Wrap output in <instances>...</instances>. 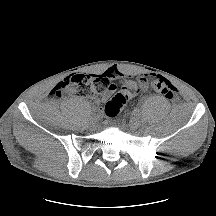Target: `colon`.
<instances>
[{
	"label": "colon",
	"instance_id": "colon-1",
	"mask_svg": "<svg viewBox=\"0 0 216 216\" xmlns=\"http://www.w3.org/2000/svg\"><path fill=\"white\" fill-rule=\"evenodd\" d=\"M109 85L110 79L104 74H74L59 82L53 88L51 94L57 98H66L73 94L94 98L103 94ZM142 86L152 89L170 101L176 97V88L165 78L160 76L143 78L139 83L125 86L113 96L104 106L103 112L105 116L107 118L116 117L127 103L130 95L138 91Z\"/></svg>",
	"mask_w": 216,
	"mask_h": 216
}]
</instances>
